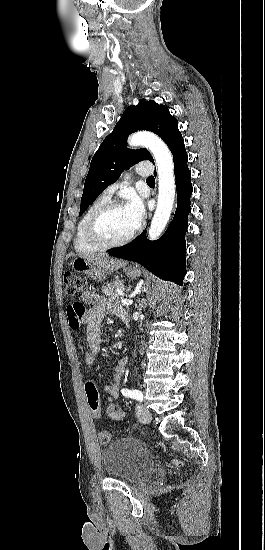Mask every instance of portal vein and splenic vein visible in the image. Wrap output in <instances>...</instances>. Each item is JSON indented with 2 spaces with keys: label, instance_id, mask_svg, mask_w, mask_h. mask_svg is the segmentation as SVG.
<instances>
[{
  "label": "portal vein and splenic vein",
  "instance_id": "1",
  "mask_svg": "<svg viewBox=\"0 0 265 550\" xmlns=\"http://www.w3.org/2000/svg\"><path fill=\"white\" fill-rule=\"evenodd\" d=\"M121 303H122L123 305H125V306H129V305H131V304L133 303V301L130 300V299H127V298H125V299L122 298V299H121Z\"/></svg>",
  "mask_w": 265,
  "mask_h": 550
}]
</instances>
